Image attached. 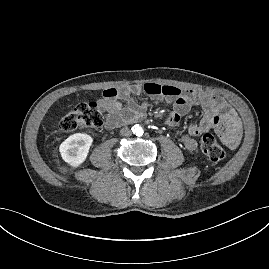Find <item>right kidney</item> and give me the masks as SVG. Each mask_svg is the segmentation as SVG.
I'll return each instance as SVG.
<instances>
[{"label": "right kidney", "mask_w": 269, "mask_h": 269, "mask_svg": "<svg viewBox=\"0 0 269 269\" xmlns=\"http://www.w3.org/2000/svg\"><path fill=\"white\" fill-rule=\"evenodd\" d=\"M93 138L85 133H76L69 136L60 145L63 160L73 167L80 166L87 158Z\"/></svg>", "instance_id": "ca27d5eb"}]
</instances>
